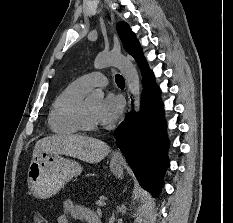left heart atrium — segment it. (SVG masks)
Returning a JSON list of instances; mask_svg holds the SVG:
<instances>
[{
  "instance_id": "39dd6f15",
  "label": "left heart atrium",
  "mask_w": 233,
  "mask_h": 223,
  "mask_svg": "<svg viewBox=\"0 0 233 223\" xmlns=\"http://www.w3.org/2000/svg\"><path fill=\"white\" fill-rule=\"evenodd\" d=\"M123 111L122 100L114 94L107 95L99 104L96 118L100 124L108 125L116 122Z\"/></svg>"
}]
</instances>
